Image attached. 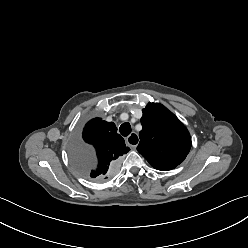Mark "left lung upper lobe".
Masks as SVG:
<instances>
[{"label":"left lung upper lobe","mask_w":248,"mask_h":248,"mask_svg":"<svg viewBox=\"0 0 248 248\" xmlns=\"http://www.w3.org/2000/svg\"><path fill=\"white\" fill-rule=\"evenodd\" d=\"M142 112L138 152L157 170L174 169L191 148L188 130L160 103H149Z\"/></svg>","instance_id":"obj_1"}]
</instances>
